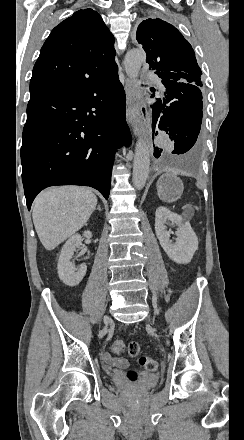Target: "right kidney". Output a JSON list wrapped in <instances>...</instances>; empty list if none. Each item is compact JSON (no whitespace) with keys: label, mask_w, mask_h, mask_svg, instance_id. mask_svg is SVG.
I'll return each mask as SVG.
<instances>
[{"label":"right kidney","mask_w":244,"mask_h":440,"mask_svg":"<svg viewBox=\"0 0 244 440\" xmlns=\"http://www.w3.org/2000/svg\"><path fill=\"white\" fill-rule=\"evenodd\" d=\"M83 236L89 240V238H92V232H84ZM81 244L82 236L74 234V236H71L70 240H67L61 250L57 270L60 280H62L63 284H66V286H78L87 272L86 264H81V266L75 268L74 264L71 262V258L74 252H76V248H79Z\"/></svg>","instance_id":"right-kidney-1"}]
</instances>
